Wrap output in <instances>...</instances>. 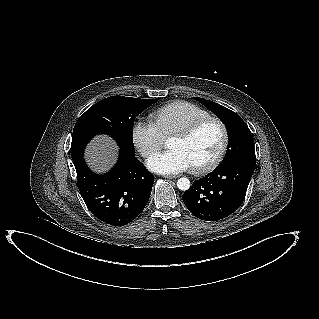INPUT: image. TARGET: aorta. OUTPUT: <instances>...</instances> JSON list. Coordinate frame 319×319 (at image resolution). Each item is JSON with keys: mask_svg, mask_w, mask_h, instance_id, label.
Returning <instances> with one entry per match:
<instances>
[{"mask_svg": "<svg viewBox=\"0 0 319 319\" xmlns=\"http://www.w3.org/2000/svg\"><path fill=\"white\" fill-rule=\"evenodd\" d=\"M177 187L182 190V191H186L190 188V181L188 178L182 177L180 179H178L177 181Z\"/></svg>", "mask_w": 319, "mask_h": 319, "instance_id": "aorta-1", "label": "aorta"}]
</instances>
